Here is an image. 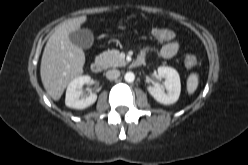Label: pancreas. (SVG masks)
<instances>
[{
	"mask_svg": "<svg viewBox=\"0 0 248 165\" xmlns=\"http://www.w3.org/2000/svg\"><path fill=\"white\" fill-rule=\"evenodd\" d=\"M105 68L108 67H122L126 65L125 60L119 57L116 51H106L99 55Z\"/></svg>",
	"mask_w": 248,
	"mask_h": 165,
	"instance_id": "cf45deb5",
	"label": "pancreas"
}]
</instances>
